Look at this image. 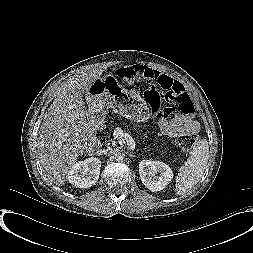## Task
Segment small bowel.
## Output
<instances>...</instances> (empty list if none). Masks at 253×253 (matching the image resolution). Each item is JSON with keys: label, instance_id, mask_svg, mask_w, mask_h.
<instances>
[{"label": "small bowel", "instance_id": "c3829d8e", "mask_svg": "<svg viewBox=\"0 0 253 253\" xmlns=\"http://www.w3.org/2000/svg\"><path fill=\"white\" fill-rule=\"evenodd\" d=\"M148 74L150 77L156 75L162 82L170 86H182L177 80L156 70L148 69ZM159 125L161 132L169 137H177L183 133H194L198 129V123L182 113H177L170 120L161 119Z\"/></svg>", "mask_w": 253, "mask_h": 253}]
</instances>
